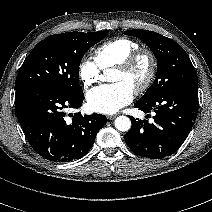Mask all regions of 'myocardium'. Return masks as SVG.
Returning a JSON list of instances; mask_svg holds the SVG:
<instances>
[{"instance_id": "f54148a6", "label": "myocardium", "mask_w": 212, "mask_h": 212, "mask_svg": "<svg viewBox=\"0 0 212 212\" xmlns=\"http://www.w3.org/2000/svg\"><path fill=\"white\" fill-rule=\"evenodd\" d=\"M142 60L147 63V73L143 81L133 88L136 93H142L148 90L156 77L157 60L154 54L146 49H137L124 61L114 66L115 69L129 73L133 71Z\"/></svg>"}]
</instances>
